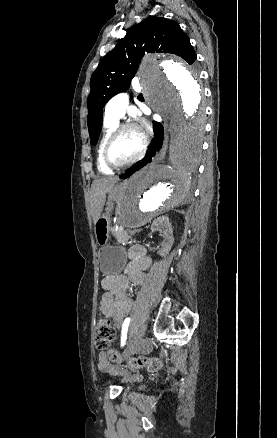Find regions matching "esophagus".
I'll return each instance as SVG.
<instances>
[{"label":"esophagus","mask_w":277,"mask_h":438,"mask_svg":"<svg viewBox=\"0 0 277 438\" xmlns=\"http://www.w3.org/2000/svg\"><path fill=\"white\" fill-rule=\"evenodd\" d=\"M163 125H164L165 130H167V122L166 121L163 122ZM168 139H169L168 135L165 134V136H164V144H163L162 150H161V152L159 153V155L157 157L158 160L164 158V156L166 154Z\"/></svg>","instance_id":"34e87169"}]
</instances>
